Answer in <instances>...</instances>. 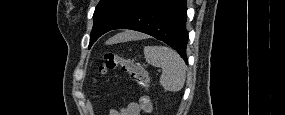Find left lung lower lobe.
Returning a JSON list of instances; mask_svg holds the SVG:
<instances>
[{"label": "left lung lower lobe", "mask_w": 285, "mask_h": 115, "mask_svg": "<svg viewBox=\"0 0 285 115\" xmlns=\"http://www.w3.org/2000/svg\"><path fill=\"white\" fill-rule=\"evenodd\" d=\"M186 0H132L107 26L151 35L174 48L187 62Z\"/></svg>", "instance_id": "left-lung-lower-lobe-1"}]
</instances>
